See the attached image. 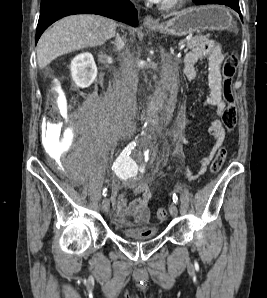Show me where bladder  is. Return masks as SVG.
I'll return each instance as SVG.
<instances>
[{
	"label": "bladder",
	"mask_w": 267,
	"mask_h": 298,
	"mask_svg": "<svg viewBox=\"0 0 267 298\" xmlns=\"http://www.w3.org/2000/svg\"><path fill=\"white\" fill-rule=\"evenodd\" d=\"M152 230H153V232L150 235H146V236L139 235L134 230L126 229V228H121L119 230V233L123 238H125L127 240L145 241V240L152 239L157 235L158 229L153 228Z\"/></svg>",
	"instance_id": "bladder-1"
}]
</instances>
